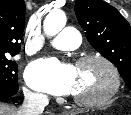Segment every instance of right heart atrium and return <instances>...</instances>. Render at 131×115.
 Masks as SVG:
<instances>
[{
  "instance_id": "right-heart-atrium-1",
  "label": "right heart atrium",
  "mask_w": 131,
  "mask_h": 115,
  "mask_svg": "<svg viewBox=\"0 0 131 115\" xmlns=\"http://www.w3.org/2000/svg\"><path fill=\"white\" fill-rule=\"evenodd\" d=\"M25 95H26V97H28L30 99H39V98H42V96H43L41 93L34 92L29 89L25 90Z\"/></svg>"
}]
</instances>
